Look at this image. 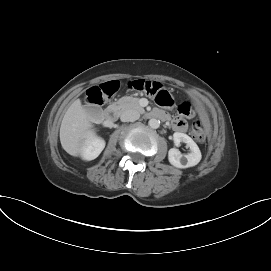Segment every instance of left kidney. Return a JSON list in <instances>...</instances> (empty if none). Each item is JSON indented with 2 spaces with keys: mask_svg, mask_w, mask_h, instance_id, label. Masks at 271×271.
<instances>
[{
  "mask_svg": "<svg viewBox=\"0 0 271 271\" xmlns=\"http://www.w3.org/2000/svg\"><path fill=\"white\" fill-rule=\"evenodd\" d=\"M173 140L176 146L181 142L186 143L191 152L183 156L178 149L171 148L168 151V160L171 165L176 168H188L193 167L200 162L202 158L200 149L191 137L184 133L175 132L173 134Z\"/></svg>",
  "mask_w": 271,
  "mask_h": 271,
  "instance_id": "left-kidney-1",
  "label": "left kidney"
}]
</instances>
